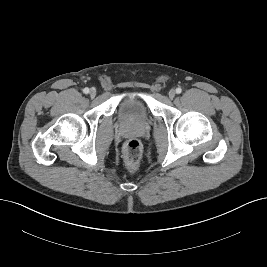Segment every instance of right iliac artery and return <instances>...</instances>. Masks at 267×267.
Masks as SVG:
<instances>
[{"instance_id":"obj_1","label":"right iliac artery","mask_w":267,"mask_h":267,"mask_svg":"<svg viewBox=\"0 0 267 267\" xmlns=\"http://www.w3.org/2000/svg\"><path fill=\"white\" fill-rule=\"evenodd\" d=\"M83 92H84L85 94H88V93H89V88H84V89H83Z\"/></svg>"}]
</instances>
